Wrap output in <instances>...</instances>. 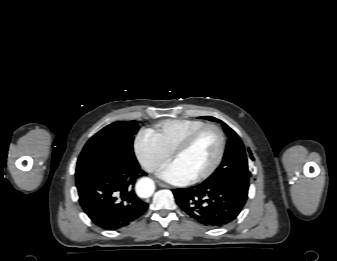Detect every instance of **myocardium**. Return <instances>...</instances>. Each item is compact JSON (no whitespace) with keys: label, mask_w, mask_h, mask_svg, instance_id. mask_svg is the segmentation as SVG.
<instances>
[{"label":"myocardium","mask_w":337,"mask_h":261,"mask_svg":"<svg viewBox=\"0 0 337 261\" xmlns=\"http://www.w3.org/2000/svg\"><path fill=\"white\" fill-rule=\"evenodd\" d=\"M206 130H214L217 132V134L219 135V139H220V147H219V151L216 156V159L214 160L212 165L207 170L202 172L201 174L192 178L191 181L194 183L200 182V181H203L209 178L220 166L224 158V155H225L226 144H227L226 136L223 130L215 124H204L203 126H200L192 130L190 133H188L171 153L172 158L175 159L178 155L186 151L192 145L195 139Z\"/></svg>","instance_id":"myocardium-1"}]
</instances>
